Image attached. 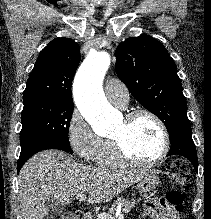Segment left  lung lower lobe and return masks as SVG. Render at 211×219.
<instances>
[{
	"mask_svg": "<svg viewBox=\"0 0 211 219\" xmlns=\"http://www.w3.org/2000/svg\"><path fill=\"white\" fill-rule=\"evenodd\" d=\"M170 151L167 156L181 155L186 157L198 172L196 146L192 140L191 129L178 132L171 140Z\"/></svg>",
	"mask_w": 211,
	"mask_h": 219,
	"instance_id": "obj_1",
	"label": "left lung lower lobe"
}]
</instances>
